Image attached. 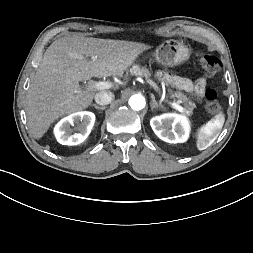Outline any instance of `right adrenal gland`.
<instances>
[{"label":"right adrenal gland","mask_w":253,"mask_h":253,"mask_svg":"<svg viewBox=\"0 0 253 253\" xmlns=\"http://www.w3.org/2000/svg\"><path fill=\"white\" fill-rule=\"evenodd\" d=\"M91 106H93L94 108L99 109V110H105L106 109V106H98L96 104H91Z\"/></svg>","instance_id":"right-adrenal-gland-1"}]
</instances>
